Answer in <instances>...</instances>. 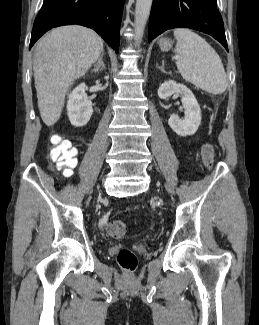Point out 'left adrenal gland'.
I'll return each instance as SVG.
<instances>
[{
	"instance_id": "left-adrenal-gland-1",
	"label": "left adrenal gland",
	"mask_w": 259,
	"mask_h": 325,
	"mask_svg": "<svg viewBox=\"0 0 259 325\" xmlns=\"http://www.w3.org/2000/svg\"><path fill=\"white\" fill-rule=\"evenodd\" d=\"M157 68L162 72V73H166L164 70V61H162V65L159 67L157 66Z\"/></svg>"
}]
</instances>
